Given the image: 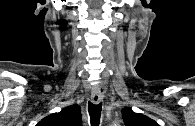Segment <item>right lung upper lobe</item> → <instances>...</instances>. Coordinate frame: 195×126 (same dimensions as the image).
<instances>
[{"mask_svg": "<svg viewBox=\"0 0 195 126\" xmlns=\"http://www.w3.org/2000/svg\"><path fill=\"white\" fill-rule=\"evenodd\" d=\"M81 109L74 104L43 118L36 126H81Z\"/></svg>", "mask_w": 195, "mask_h": 126, "instance_id": "right-lung-upper-lobe-1", "label": "right lung upper lobe"}]
</instances>
